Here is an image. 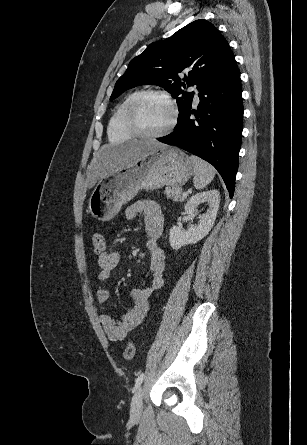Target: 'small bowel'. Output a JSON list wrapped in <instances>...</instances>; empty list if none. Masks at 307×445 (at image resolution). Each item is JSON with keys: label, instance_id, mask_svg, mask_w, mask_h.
Wrapping results in <instances>:
<instances>
[{"label": "small bowel", "instance_id": "1", "mask_svg": "<svg viewBox=\"0 0 307 445\" xmlns=\"http://www.w3.org/2000/svg\"><path fill=\"white\" fill-rule=\"evenodd\" d=\"M125 215L129 220H133L140 215L144 216L147 234L146 246L150 251V282L147 286L135 287L132 290L134 305L119 320L113 319L106 313L99 316L102 328L111 342L124 340L131 331L144 321L149 310L150 296L155 290L162 287L166 269L164 251L159 246L165 216L159 203L153 200L135 202L126 209ZM119 262L120 254L116 251H107L98 257L100 267L98 281L101 286L97 291L96 298L99 304H105L109 300L107 285L111 272L118 266Z\"/></svg>", "mask_w": 307, "mask_h": 445}]
</instances>
